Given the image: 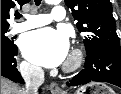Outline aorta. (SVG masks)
I'll use <instances>...</instances> for the list:
<instances>
[{
    "instance_id": "obj_1",
    "label": "aorta",
    "mask_w": 121,
    "mask_h": 94,
    "mask_svg": "<svg viewBox=\"0 0 121 94\" xmlns=\"http://www.w3.org/2000/svg\"><path fill=\"white\" fill-rule=\"evenodd\" d=\"M61 0H45L46 3L48 4H58L60 3Z\"/></svg>"
}]
</instances>
